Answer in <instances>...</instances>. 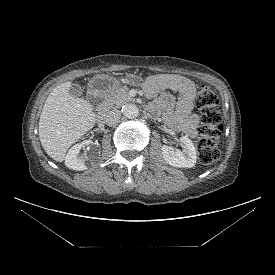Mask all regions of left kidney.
Returning a JSON list of instances; mask_svg holds the SVG:
<instances>
[{
  "mask_svg": "<svg viewBox=\"0 0 275 275\" xmlns=\"http://www.w3.org/2000/svg\"><path fill=\"white\" fill-rule=\"evenodd\" d=\"M180 142L183 144L184 149H174L171 146H162V155L164 160L173 167L178 168H191L196 164L197 153L193 142L186 136L180 138Z\"/></svg>",
  "mask_w": 275,
  "mask_h": 275,
  "instance_id": "5707ae66",
  "label": "left kidney"
}]
</instances>
